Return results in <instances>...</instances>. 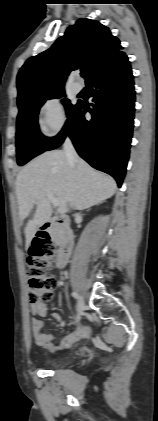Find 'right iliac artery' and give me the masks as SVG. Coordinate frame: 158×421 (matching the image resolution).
Masks as SVG:
<instances>
[{
    "mask_svg": "<svg viewBox=\"0 0 158 421\" xmlns=\"http://www.w3.org/2000/svg\"><path fill=\"white\" fill-rule=\"evenodd\" d=\"M75 299H78V294L76 292H72L71 294Z\"/></svg>",
    "mask_w": 158,
    "mask_h": 421,
    "instance_id": "right-iliac-artery-1",
    "label": "right iliac artery"
}]
</instances>
